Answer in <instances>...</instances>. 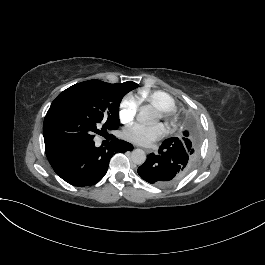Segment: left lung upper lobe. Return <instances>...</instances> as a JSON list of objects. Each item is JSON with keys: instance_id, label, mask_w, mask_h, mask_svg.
Returning a JSON list of instances; mask_svg holds the SVG:
<instances>
[{"instance_id": "left-lung-upper-lobe-1", "label": "left lung upper lobe", "mask_w": 265, "mask_h": 265, "mask_svg": "<svg viewBox=\"0 0 265 265\" xmlns=\"http://www.w3.org/2000/svg\"><path fill=\"white\" fill-rule=\"evenodd\" d=\"M182 143V145L185 148V152L188 156V165H187V170H190L199 153L200 149V144H201V134L199 127L197 124L190 119L187 122L186 129L183 131V133L179 137H174Z\"/></svg>"}]
</instances>
